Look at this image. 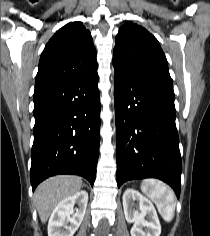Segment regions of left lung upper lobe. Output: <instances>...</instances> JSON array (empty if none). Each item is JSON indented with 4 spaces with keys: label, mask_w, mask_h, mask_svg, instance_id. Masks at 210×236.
Wrapping results in <instances>:
<instances>
[{
    "label": "left lung upper lobe",
    "mask_w": 210,
    "mask_h": 236,
    "mask_svg": "<svg viewBox=\"0 0 210 236\" xmlns=\"http://www.w3.org/2000/svg\"><path fill=\"white\" fill-rule=\"evenodd\" d=\"M113 66L116 72L128 77L172 85L167 59L158 40L132 22L119 29Z\"/></svg>",
    "instance_id": "5c2ea615"
}]
</instances>
